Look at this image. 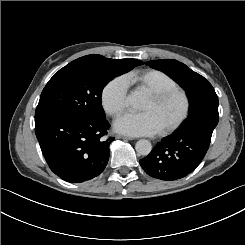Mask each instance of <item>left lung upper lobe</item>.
<instances>
[{
    "label": "left lung upper lobe",
    "mask_w": 245,
    "mask_h": 245,
    "mask_svg": "<svg viewBox=\"0 0 245 245\" xmlns=\"http://www.w3.org/2000/svg\"><path fill=\"white\" fill-rule=\"evenodd\" d=\"M145 64L164 72L176 81L186 91L190 106L195 104L198 97H202L206 91L213 88L203 76L177 60H154Z\"/></svg>",
    "instance_id": "5c2ea615"
}]
</instances>
